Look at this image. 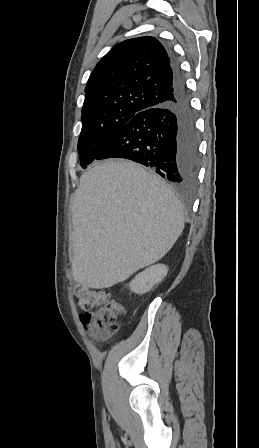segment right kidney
Returning <instances> with one entry per match:
<instances>
[{
    "instance_id": "ca27d5eb",
    "label": "right kidney",
    "mask_w": 259,
    "mask_h": 448,
    "mask_svg": "<svg viewBox=\"0 0 259 448\" xmlns=\"http://www.w3.org/2000/svg\"><path fill=\"white\" fill-rule=\"evenodd\" d=\"M167 272L168 268L167 266H163V264L150 266V268H146L144 272L135 276L134 280L130 282L129 288L135 294H146L155 284L162 282L163 278L167 276Z\"/></svg>"
}]
</instances>
